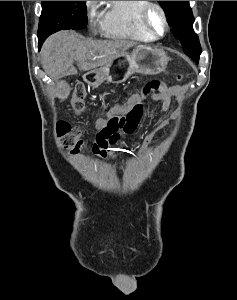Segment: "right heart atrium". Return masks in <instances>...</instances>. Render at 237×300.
Instances as JSON below:
<instances>
[{
  "mask_svg": "<svg viewBox=\"0 0 237 300\" xmlns=\"http://www.w3.org/2000/svg\"><path fill=\"white\" fill-rule=\"evenodd\" d=\"M85 9L91 21H94L100 12L99 1H85Z\"/></svg>",
  "mask_w": 237,
  "mask_h": 300,
  "instance_id": "right-heart-atrium-1",
  "label": "right heart atrium"
}]
</instances>
